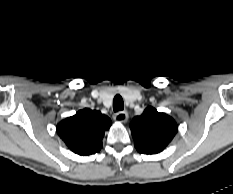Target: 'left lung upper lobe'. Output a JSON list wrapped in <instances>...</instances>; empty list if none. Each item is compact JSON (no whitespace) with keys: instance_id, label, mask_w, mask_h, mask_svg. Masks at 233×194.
Wrapping results in <instances>:
<instances>
[{"instance_id":"obj_1","label":"left lung upper lobe","mask_w":233,"mask_h":194,"mask_svg":"<svg viewBox=\"0 0 233 194\" xmlns=\"http://www.w3.org/2000/svg\"><path fill=\"white\" fill-rule=\"evenodd\" d=\"M135 148L144 154H157L164 150L177 132V124L165 113L148 107L130 124Z\"/></svg>"}]
</instances>
